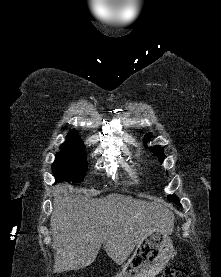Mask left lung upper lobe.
Wrapping results in <instances>:
<instances>
[{
	"instance_id": "obj_1",
	"label": "left lung upper lobe",
	"mask_w": 221,
	"mask_h": 277,
	"mask_svg": "<svg viewBox=\"0 0 221 277\" xmlns=\"http://www.w3.org/2000/svg\"><path fill=\"white\" fill-rule=\"evenodd\" d=\"M150 141V134H146L144 142H148ZM150 151L153 152L159 159L160 161L164 160V153H163V149L160 146H153L150 148ZM168 199L172 202H175L178 205L180 204L179 198L177 196L173 195H169Z\"/></svg>"
}]
</instances>
